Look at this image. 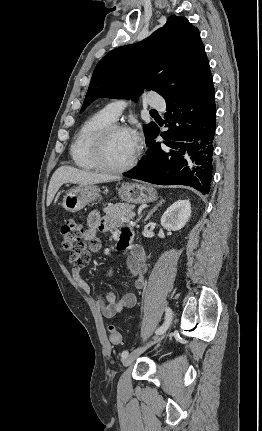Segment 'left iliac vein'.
Returning a JSON list of instances; mask_svg holds the SVG:
<instances>
[{
    "label": "left iliac vein",
    "instance_id": "4c4485c4",
    "mask_svg": "<svg viewBox=\"0 0 262 431\" xmlns=\"http://www.w3.org/2000/svg\"><path fill=\"white\" fill-rule=\"evenodd\" d=\"M166 332L164 331V333L159 336V337H155L151 342L147 343L144 346L138 347L136 349H134L131 353H129L126 358L123 360V365L125 367L130 366L133 364V362L148 348H150L151 346H153L154 344L160 342L163 337L165 336Z\"/></svg>",
    "mask_w": 262,
    "mask_h": 431
}]
</instances>
